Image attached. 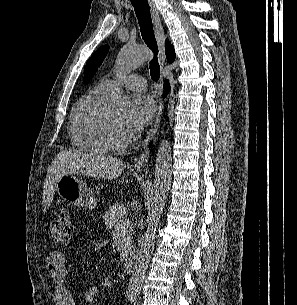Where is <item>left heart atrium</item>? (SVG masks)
<instances>
[{
  "mask_svg": "<svg viewBox=\"0 0 297 305\" xmlns=\"http://www.w3.org/2000/svg\"><path fill=\"white\" fill-rule=\"evenodd\" d=\"M155 109V103L151 96H135L122 122V127L127 137L139 134L153 119Z\"/></svg>",
  "mask_w": 297,
  "mask_h": 305,
  "instance_id": "1",
  "label": "left heart atrium"
}]
</instances>
